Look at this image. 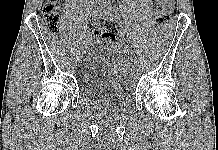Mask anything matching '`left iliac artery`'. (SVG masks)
<instances>
[{"mask_svg":"<svg viewBox=\"0 0 218 150\" xmlns=\"http://www.w3.org/2000/svg\"><path fill=\"white\" fill-rule=\"evenodd\" d=\"M118 25H119V29H120V30H123L124 27L126 26L125 20H124V19H121ZM131 58H135V57L132 56ZM129 60H130V59H129ZM126 63H127V69L133 67V64H134V63H130V61H126Z\"/></svg>","mask_w":218,"mask_h":150,"instance_id":"left-iliac-artery-1","label":"left iliac artery"}]
</instances>
